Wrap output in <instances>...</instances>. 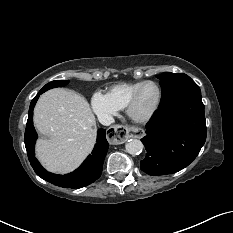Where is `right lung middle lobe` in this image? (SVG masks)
I'll return each mask as SVG.
<instances>
[{
    "label": "right lung middle lobe",
    "mask_w": 233,
    "mask_h": 233,
    "mask_svg": "<svg viewBox=\"0 0 233 233\" xmlns=\"http://www.w3.org/2000/svg\"><path fill=\"white\" fill-rule=\"evenodd\" d=\"M68 83V80H55L47 83L40 91L45 92L51 88L62 87Z\"/></svg>",
    "instance_id": "obj_1"
}]
</instances>
